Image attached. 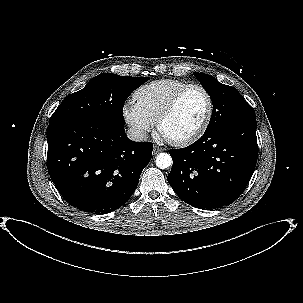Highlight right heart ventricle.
Returning a JSON list of instances; mask_svg holds the SVG:
<instances>
[{
	"instance_id": "obj_1",
	"label": "right heart ventricle",
	"mask_w": 303,
	"mask_h": 303,
	"mask_svg": "<svg viewBox=\"0 0 303 303\" xmlns=\"http://www.w3.org/2000/svg\"><path fill=\"white\" fill-rule=\"evenodd\" d=\"M188 83L174 79H164L151 82L139 88L134 98L139 107L156 122L159 114L173 96L187 86Z\"/></svg>"
}]
</instances>
